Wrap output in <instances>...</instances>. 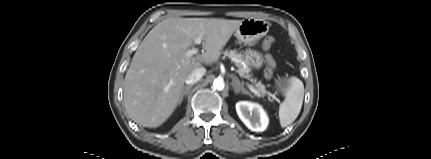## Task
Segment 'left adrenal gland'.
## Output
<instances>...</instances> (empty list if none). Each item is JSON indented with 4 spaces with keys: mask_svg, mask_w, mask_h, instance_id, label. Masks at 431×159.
I'll list each match as a JSON object with an SVG mask.
<instances>
[{
    "mask_svg": "<svg viewBox=\"0 0 431 159\" xmlns=\"http://www.w3.org/2000/svg\"><path fill=\"white\" fill-rule=\"evenodd\" d=\"M232 87L234 89V93L238 94L240 92H242L243 94H247L249 96H252L250 92H248L240 83L239 79L234 76L233 80H232Z\"/></svg>",
    "mask_w": 431,
    "mask_h": 159,
    "instance_id": "1",
    "label": "left adrenal gland"
}]
</instances>
